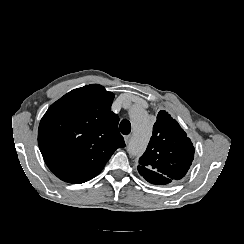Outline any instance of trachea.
Listing matches in <instances>:
<instances>
[{
	"mask_svg": "<svg viewBox=\"0 0 244 244\" xmlns=\"http://www.w3.org/2000/svg\"><path fill=\"white\" fill-rule=\"evenodd\" d=\"M120 131L124 135H128L131 131V123L129 120H122L120 122Z\"/></svg>",
	"mask_w": 244,
	"mask_h": 244,
	"instance_id": "obj_1",
	"label": "trachea"
}]
</instances>
